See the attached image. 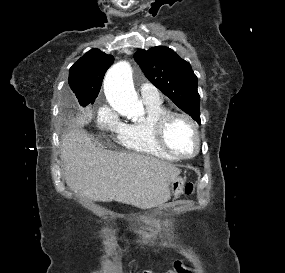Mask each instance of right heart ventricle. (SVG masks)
Instances as JSON below:
<instances>
[{
    "instance_id": "obj_1",
    "label": "right heart ventricle",
    "mask_w": 285,
    "mask_h": 273,
    "mask_svg": "<svg viewBox=\"0 0 285 273\" xmlns=\"http://www.w3.org/2000/svg\"><path fill=\"white\" fill-rule=\"evenodd\" d=\"M146 115L136 121L120 124L117 140L126 149L165 159L176 157L166 151L158 142L155 134L157 119L168 112L162 101L144 102Z\"/></svg>"
}]
</instances>
